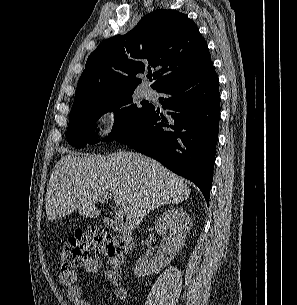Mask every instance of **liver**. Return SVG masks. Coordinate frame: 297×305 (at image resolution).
Returning a JSON list of instances; mask_svg holds the SVG:
<instances>
[{"instance_id": "liver-1", "label": "liver", "mask_w": 297, "mask_h": 305, "mask_svg": "<svg viewBox=\"0 0 297 305\" xmlns=\"http://www.w3.org/2000/svg\"><path fill=\"white\" fill-rule=\"evenodd\" d=\"M108 192L124 208L128 228L133 230L150 211L187 200L191 190L184 179L138 153H70L52 170L46 193L47 219L56 220L75 210L83 217L97 218L101 214L98 196Z\"/></svg>"}]
</instances>
